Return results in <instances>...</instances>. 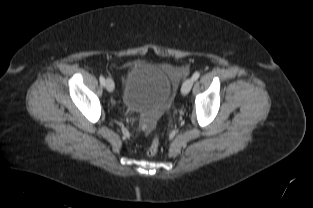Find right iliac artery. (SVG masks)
<instances>
[{
	"label": "right iliac artery",
	"instance_id": "right-iliac-artery-1",
	"mask_svg": "<svg viewBox=\"0 0 313 208\" xmlns=\"http://www.w3.org/2000/svg\"><path fill=\"white\" fill-rule=\"evenodd\" d=\"M99 80H100L101 85L105 86V78L103 75H100Z\"/></svg>",
	"mask_w": 313,
	"mask_h": 208
}]
</instances>
